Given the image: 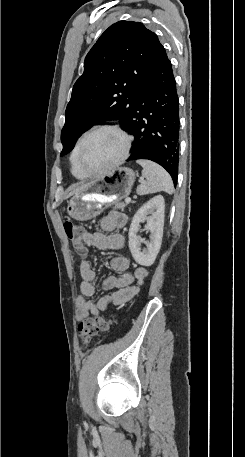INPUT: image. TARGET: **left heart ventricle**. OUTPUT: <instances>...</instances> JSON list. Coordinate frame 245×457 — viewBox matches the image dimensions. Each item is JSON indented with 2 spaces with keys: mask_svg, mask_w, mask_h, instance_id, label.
Returning <instances> with one entry per match:
<instances>
[{
  "mask_svg": "<svg viewBox=\"0 0 245 457\" xmlns=\"http://www.w3.org/2000/svg\"><path fill=\"white\" fill-rule=\"evenodd\" d=\"M122 138L112 131H100L92 135L82 151L81 159L90 171L102 169L119 156L122 151Z\"/></svg>",
  "mask_w": 245,
  "mask_h": 457,
  "instance_id": "1",
  "label": "left heart ventricle"
}]
</instances>
